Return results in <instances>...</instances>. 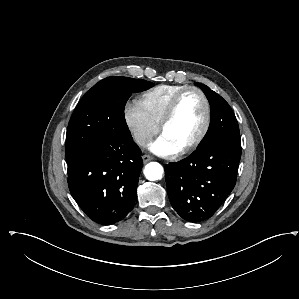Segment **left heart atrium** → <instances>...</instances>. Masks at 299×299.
Returning <instances> with one entry per match:
<instances>
[{
	"mask_svg": "<svg viewBox=\"0 0 299 299\" xmlns=\"http://www.w3.org/2000/svg\"><path fill=\"white\" fill-rule=\"evenodd\" d=\"M150 150L161 156H173L179 153L180 149L172 144L165 136H159L149 146Z\"/></svg>",
	"mask_w": 299,
	"mask_h": 299,
	"instance_id": "1",
	"label": "left heart atrium"
}]
</instances>
